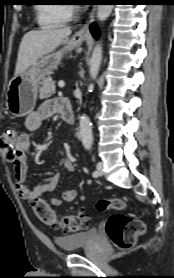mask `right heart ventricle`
<instances>
[{
    "label": "right heart ventricle",
    "instance_id": "1",
    "mask_svg": "<svg viewBox=\"0 0 174 278\" xmlns=\"http://www.w3.org/2000/svg\"><path fill=\"white\" fill-rule=\"evenodd\" d=\"M37 23L42 29H52L70 21L71 11L67 5L45 3L36 7Z\"/></svg>",
    "mask_w": 174,
    "mask_h": 278
}]
</instances>
